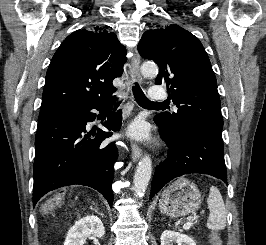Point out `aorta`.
<instances>
[{
    "label": "aorta",
    "mask_w": 266,
    "mask_h": 245,
    "mask_svg": "<svg viewBox=\"0 0 266 245\" xmlns=\"http://www.w3.org/2000/svg\"><path fill=\"white\" fill-rule=\"evenodd\" d=\"M141 72L143 76H157L158 74V66L157 64H151V62H145L141 66ZM152 175V161L149 155H144L142 157L140 163H138V167H136L134 179H133V191L135 193V197H144V193L148 187V183L151 179Z\"/></svg>",
    "instance_id": "obj_1"
}]
</instances>
